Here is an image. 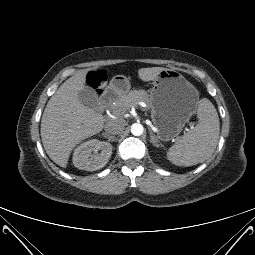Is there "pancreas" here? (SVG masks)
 <instances>
[{
  "label": "pancreas",
  "instance_id": "obj_1",
  "mask_svg": "<svg viewBox=\"0 0 255 255\" xmlns=\"http://www.w3.org/2000/svg\"><path fill=\"white\" fill-rule=\"evenodd\" d=\"M138 101L149 104L148 93L144 90H132L116 100L111 105V109L116 115L121 116L130 109L133 103Z\"/></svg>",
  "mask_w": 255,
  "mask_h": 255
}]
</instances>
